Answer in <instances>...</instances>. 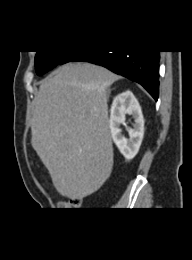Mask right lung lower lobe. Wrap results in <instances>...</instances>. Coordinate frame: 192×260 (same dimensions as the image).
Listing matches in <instances>:
<instances>
[{"instance_id":"98d812e1","label":"right lung lower lobe","mask_w":192,"mask_h":260,"mask_svg":"<svg viewBox=\"0 0 192 260\" xmlns=\"http://www.w3.org/2000/svg\"><path fill=\"white\" fill-rule=\"evenodd\" d=\"M159 51H74L61 64L86 61L140 83L155 99L159 95Z\"/></svg>"}]
</instances>
